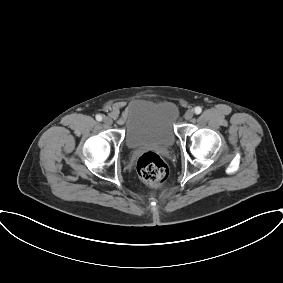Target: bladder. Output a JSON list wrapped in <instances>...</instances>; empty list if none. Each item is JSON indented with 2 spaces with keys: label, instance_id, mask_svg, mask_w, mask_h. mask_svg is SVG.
<instances>
[{
  "label": "bladder",
  "instance_id": "31cf9c89",
  "mask_svg": "<svg viewBox=\"0 0 283 283\" xmlns=\"http://www.w3.org/2000/svg\"><path fill=\"white\" fill-rule=\"evenodd\" d=\"M178 109L171 101H134L125 122V143L130 149L144 146L171 147L176 140L174 129Z\"/></svg>",
  "mask_w": 283,
  "mask_h": 283
}]
</instances>
